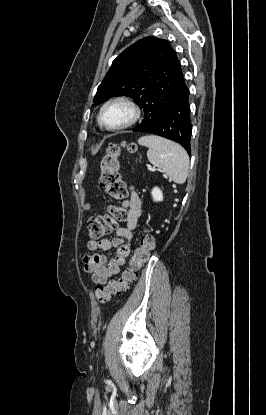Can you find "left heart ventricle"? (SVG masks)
<instances>
[{
    "instance_id": "left-heart-ventricle-1",
    "label": "left heart ventricle",
    "mask_w": 266,
    "mask_h": 415,
    "mask_svg": "<svg viewBox=\"0 0 266 415\" xmlns=\"http://www.w3.org/2000/svg\"><path fill=\"white\" fill-rule=\"evenodd\" d=\"M130 118V110L122 104H114L106 108L103 121L108 126H118Z\"/></svg>"
}]
</instances>
